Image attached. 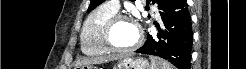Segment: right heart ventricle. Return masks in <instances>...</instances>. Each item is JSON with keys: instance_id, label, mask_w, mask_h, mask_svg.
Listing matches in <instances>:
<instances>
[{"instance_id": "obj_1", "label": "right heart ventricle", "mask_w": 246, "mask_h": 69, "mask_svg": "<svg viewBox=\"0 0 246 69\" xmlns=\"http://www.w3.org/2000/svg\"><path fill=\"white\" fill-rule=\"evenodd\" d=\"M117 14L108 4L93 10L86 18L81 32V49L88 56H105L110 53L103 40L107 21Z\"/></svg>"}]
</instances>
